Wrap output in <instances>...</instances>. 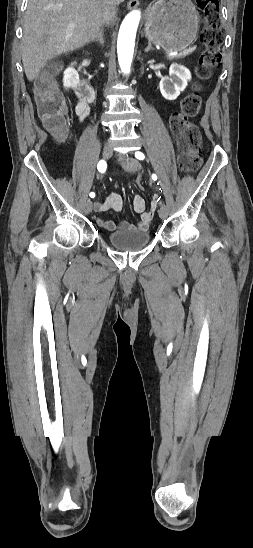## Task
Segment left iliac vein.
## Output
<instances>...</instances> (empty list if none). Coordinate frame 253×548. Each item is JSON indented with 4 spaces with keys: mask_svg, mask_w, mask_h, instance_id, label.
Instances as JSON below:
<instances>
[{
    "mask_svg": "<svg viewBox=\"0 0 253 548\" xmlns=\"http://www.w3.org/2000/svg\"><path fill=\"white\" fill-rule=\"evenodd\" d=\"M117 158L119 162L121 163V165L129 172H135L141 168L139 161L129 155L119 154L117 155ZM167 215H168L167 208L165 205H163L159 209V217L161 219H164L167 217Z\"/></svg>",
    "mask_w": 253,
    "mask_h": 548,
    "instance_id": "1",
    "label": "left iliac vein"
}]
</instances>
